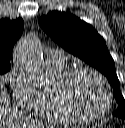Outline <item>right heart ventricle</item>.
Segmentation results:
<instances>
[{"mask_svg":"<svg viewBox=\"0 0 125 128\" xmlns=\"http://www.w3.org/2000/svg\"><path fill=\"white\" fill-rule=\"evenodd\" d=\"M53 84L37 91V95L31 105L32 114L41 120L57 124H80L82 121L76 119L61 102L58 88L65 76L69 73L68 65H47Z\"/></svg>","mask_w":125,"mask_h":128,"instance_id":"1","label":"right heart ventricle"}]
</instances>
